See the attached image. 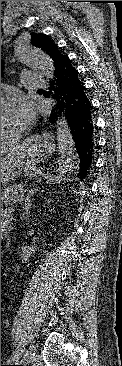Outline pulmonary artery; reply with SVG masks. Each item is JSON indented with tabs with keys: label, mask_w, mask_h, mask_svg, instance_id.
Instances as JSON below:
<instances>
[{
	"label": "pulmonary artery",
	"mask_w": 122,
	"mask_h": 366,
	"mask_svg": "<svg viewBox=\"0 0 122 366\" xmlns=\"http://www.w3.org/2000/svg\"><path fill=\"white\" fill-rule=\"evenodd\" d=\"M21 78L29 88L37 89L46 86L45 80L37 72L26 70L21 73Z\"/></svg>",
	"instance_id": "obj_1"
}]
</instances>
